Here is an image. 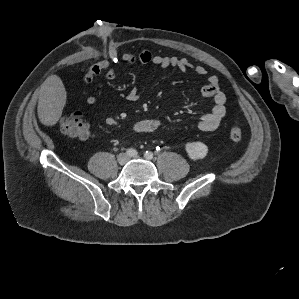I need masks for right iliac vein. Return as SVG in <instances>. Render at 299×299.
I'll use <instances>...</instances> for the list:
<instances>
[{"label": "right iliac vein", "instance_id": "63e3f726", "mask_svg": "<svg viewBox=\"0 0 299 299\" xmlns=\"http://www.w3.org/2000/svg\"><path fill=\"white\" fill-rule=\"evenodd\" d=\"M128 160V155L126 153H121L117 157V161L120 165H124Z\"/></svg>", "mask_w": 299, "mask_h": 299}]
</instances>
